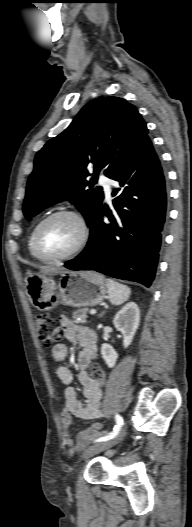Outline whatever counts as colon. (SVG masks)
Segmentation results:
<instances>
[{
    "label": "colon",
    "mask_w": 192,
    "mask_h": 527,
    "mask_svg": "<svg viewBox=\"0 0 192 527\" xmlns=\"http://www.w3.org/2000/svg\"><path fill=\"white\" fill-rule=\"evenodd\" d=\"M35 325L38 338L45 344V346H51L55 342L61 340L64 335V329L61 322L46 314L36 315ZM90 377L99 385H102L105 380L103 370L97 365L91 367Z\"/></svg>",
    "instance_id": "1"
}]
</instances>
